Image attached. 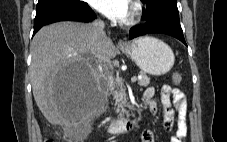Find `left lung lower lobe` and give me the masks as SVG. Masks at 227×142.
<instances>
[{"instance_id": "left-lung-lower-lobe-1", "label": "left lung lower lobe", "mask_w": 227, "mask_h": 142, "mask_svg": "<svg viewBox=\"0 0 227 142\" xmlns=\"http://www.w3.org/2000/svg\"><path fill=\"white\" fill-rule=\"evenodd\" d=\"M151 33H161L173 36L186 45L179 17L165 13L153 14L147 18L145 24L132 27L129 32V37L130 39H133Z\"/></svg>"}]
</instances>
